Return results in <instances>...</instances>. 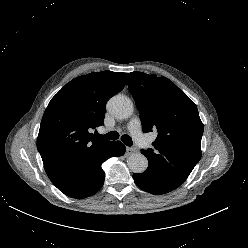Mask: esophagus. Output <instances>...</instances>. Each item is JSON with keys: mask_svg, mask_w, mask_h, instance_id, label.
Here are the masks:
<instances>
[{"mask_svg": "<svg viewBox=\"0 0 248 248\" xmlns=\"http://www.w3.org/2000/svg\"><path fill=\"white\" fill-rule=\"evenodd\" d=\"M135 152H136V149L133 148V147H127V148H126V154H127V155L134 154Z\"/></svg>", "mask_w": 248, "mask_h": 248, "instance_id": "obj_1", "label": "esophagus"}]
</instances>
